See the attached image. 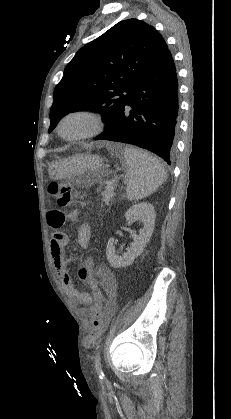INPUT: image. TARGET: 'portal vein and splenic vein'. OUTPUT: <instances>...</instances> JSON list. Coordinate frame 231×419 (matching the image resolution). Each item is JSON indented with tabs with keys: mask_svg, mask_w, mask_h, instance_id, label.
<instances>
[{
	"mask_svg": "<svg viewBox=\"0 0 231 419\" xmlns=\"http://www.w3.org/2000/svg\"><path fill=\"white\" fill-rule=\"evenodd\" d=\"M116 182H117L116 180H113L112 182H109L108 185H107V188H110V189L113 188V186Z\"/></svg>",
	"mask_w": 231,
	"mask_h": 419,
	"instance_id": "1",
	"label": "portal vein and splenic vein"
}]
</instances>
